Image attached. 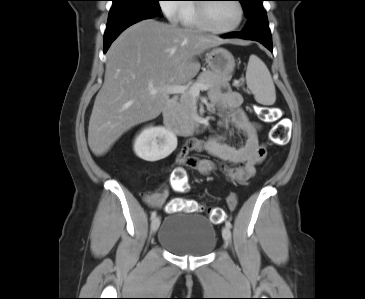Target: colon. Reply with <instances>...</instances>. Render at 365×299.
Wrapping results in <instances>:
<instances>
[{"instance_id":"1","label":"colon","mask_w":365,"mask_h":299,"mask_svg":"<svg viewBox=\"0 0 365 299\" xmlns=\"http://www.w3.org/2000/svg\"><path fill=\"white\" fill-rule=\"evenodd\" d=\"M234 1V0H232ZM259 116L263 121L275 123L270 131V138L273 142L277 144H285L288 140L289 131L281 123V111L275 107L261 106ZM173 188L178 192H186L189 188L188 180L183 172H177L172 178ZM228 205L231 209H234L237 205V196L232 194L229 197ZM201 205L194 200H187L183 198H177L167 205L166 210L168 212H187L193 213L201 210ZM209 217L211 221L215 224H219L224 221L226 214L222 208L214 207L209 209Z\"/></svg>"}]
</instances>
